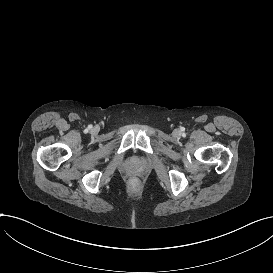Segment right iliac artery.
<instances>
[{
	"label": "right iliac artery",
	"instance_id": "obj_1",
	"mask_svg": "<svg viewBox=\"0 0 273 273\" xmlns=\"http://www.w3.org/2000/svg\"><path fill=\"white\" fill-rule=\"evenodd\" d=\"M92 128V126L90 125V126H88V129H91Z\"/></svg>",
	"mask_w": 273,
	"mask_h": 273
}]
</instances>
